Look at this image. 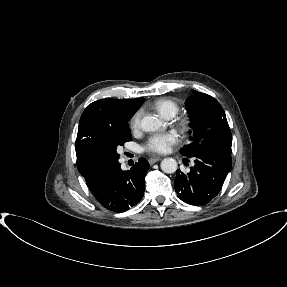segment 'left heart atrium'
Returning a JSON list of instances; mask_svg holds the SVG:
<instances>
[{
	"instance_id": "left-heart-atrium-1",
	"label": "left heart atrium",
	"mask_w": 287,
	"mask_h": 287,
	"mask_svg": "<svg viewBox=\"0 0 287 287\" xmlns=\"http://www.w3.org/2000/svg\"><path fill=\"white\" fill-rule=\"evenodd\" d=\"M179 142V135L175 131L155 133L144 144V149L155 154H163L170 151L173 145Z\"/></svg>"
}]
</instances>
